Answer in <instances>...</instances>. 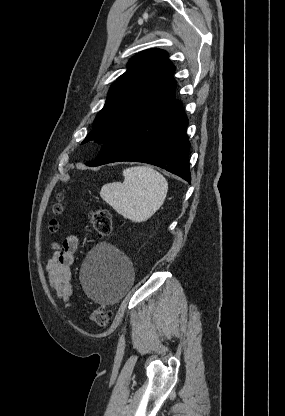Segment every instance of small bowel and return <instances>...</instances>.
I'll list each match as a JSON object with an SVG mask.
<instances>
[{
    "label": "small bowel",
    "instance_id": "1",
    "mask_svg": "<svg viewBox=\"0 0 285 416\" xmlns=\"http://www.w3.org/2000/svg\"><path fill=\"white\" fill-rule=\"evenodd\" d=\"M78 246L79 239L76 235L68 236L61 244L52 243L51 255L45 266L49 285L65 307L72 306L71 265Z\"/></svg>",
    "mask_w": 285,
    "mask_h": 416
}]
</instances>
